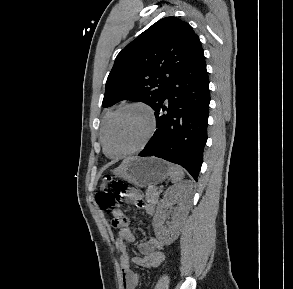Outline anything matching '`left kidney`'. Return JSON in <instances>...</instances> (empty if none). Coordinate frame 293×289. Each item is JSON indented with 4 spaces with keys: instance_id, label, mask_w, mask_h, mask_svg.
<instances>
[{
    "instance_id": "obj_1",
    "label": "left kidney",
    "mask_w": 293,
    "mask_h": 289,
    "mask_svg": "<svg viewBox=\"0 0 293 289\" xmlns=\"http://www.w3.org/2000/svg\"><path fill=\"white\" fill-rule=\"evenodd\" d=\"M189 190L190 183L185 181L169 187L164 193L159 210L153 218L155 235L164 244L170 245L180 234L182 222L186 214V204ZM173 200L178 201L179 207L177 208V212L172 216V220L168 224V227H166L163 225V221L165 219L163 208L170 206Z\"/></svg>"
}]
</instances>
